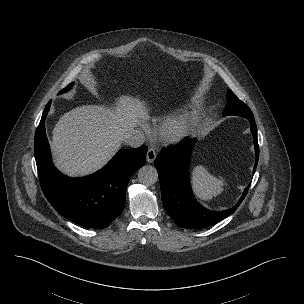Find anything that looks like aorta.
Returning <instances> with one entry per match:
<instances>
[{
  "label": "aorta",
  "mask_w": 304,
  "mask_h": 304,
  "mask_svg": "<svg viewBox=\"0 0 304 304\" xmlns=\"http://www.w3.org/2000/svg\"><path fill=\"white\" fill-rule=\"evenodd\" d=\"M138 179L143 185H153L158 180V172L154 166L144 165L138 171Z\"/></svg>",
  "instance_id": "aorta-1"
}]
</instances>
